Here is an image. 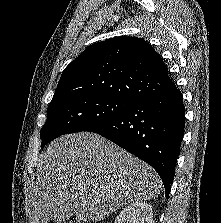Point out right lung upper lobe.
<instances>
[{"mask_svg": "<svg viewBox=\"0 0 221 223\" xmlns=\"http://www.w3.org/2000/svg\"><path fill=\"white\" fill-rule=\"evenodd\" d=\"M173 87L167 66L148 42L121 36L89 46L72 61L50 104L85 95L134 103Z\"/></svg>", "mask_w": 221, "mask_h": 223, "instance_id": "right-lung-upper-lobe-1", "label": "right lung upper lobe"}]
</instances>
